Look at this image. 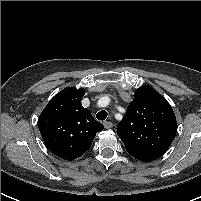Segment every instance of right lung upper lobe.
Listing matches in <instances>:
<instances>
[{
    "instance_id": "right-lung-upper-lobe-1",
    "label": "right lung upper lobe",
    "mask_w": 201,
    "mask_h": 201,
    "mask_svg": "<svg viewBox=\"0 0 201 201\" xmlns=\"http://www.w3.org/2000/svg\"><path fill=\"white\" fill-rule=\"evenodd\" d=\"M84 89L68 87L55 95L42 111L38 126L47 148L56 156L74 160L90 147L104 126L81 104Z\"/></svg>"
}]
</instances>
